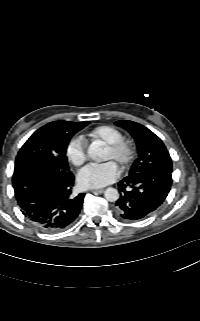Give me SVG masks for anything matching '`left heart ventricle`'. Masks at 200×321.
Listing matches in <instances>:
<instances>
[{
    "instance_id": "obj_1",
    "label": "left heart ventricle",
    "mask_w": 200,
    "mask_h": 321,
    "mask_svg": "<svg viewBox=\"0 0 200 321\" xmlns=\"http://www.w3.org/2000/svg\"><path fill=\"white\" fill-rule=\"evenodd\" d=\"M120 156H114L108 149L105 150V154H104V160H112L115 163L118 164V161L120 159Z\"/></svg>"
}]
</instances>
